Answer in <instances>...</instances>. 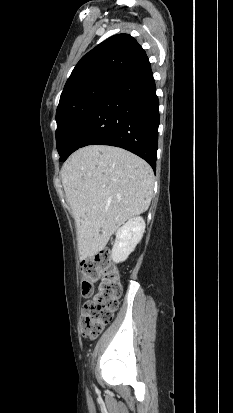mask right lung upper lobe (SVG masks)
Masks as SVG:
<instances>
[{
	"mask_svg": "<svg viewBox=\"0 0 233 413\" xmlns=\"http://www.w3.org/2000/svg\"><path fill=\"white\" fill-rule=\"evenodd\" d=\"M145 51L128 34L114 35L84 55L68 78L61 97L100 77L117 78L140 60Z\"/></svg>",
	"mask_w": 233,
	"mask_h": 413,
	"instance_id": "obj_1",
	"label": "right lung upper lobe"
}]
</instances>
